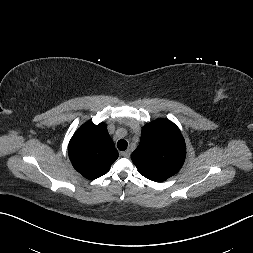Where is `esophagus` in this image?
Here are the masks:
<instances>
[{
    "mask_svg": "<svg viewBox=\"0 0 253 253\" xmlns=\"http://www.w3.org/2000/svg\"><path fill=\"white\" fill-rule=\"evenodd\" d=\"M120 154H121V156L126 157V158L130 157V151L129 150L123 151Z\"/></svg>",
    "mask_w": 253,
    "mask_h": 253,
    "instance_id": "esophagus-1",
    "label": "esophagus"
}]
</instances>
